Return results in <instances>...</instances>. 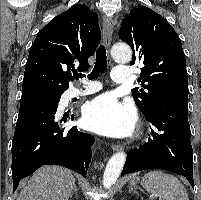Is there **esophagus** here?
<instances>
[{"mask_svg": "<svg viewBox=\"0 0 201 200\" xmlns=\"http://www.w3.org/2000/svg\"><path fill=\"white\" fill-rule=\"evenodd\" d=\"M113 29L109 19L104 16L103 17V42L107 49L110 48L111 39H112ZM113 151H119L122 149V146L119 144H113L111 146Z\"/></svg>", "mask_w": 201, "mask_h": 200, "instance_id": "1", "label": "esophagus"}]
</instances>
